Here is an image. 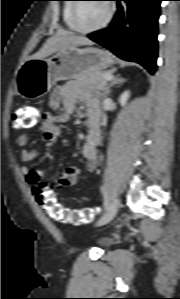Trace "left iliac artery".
<instances>
[{
	"instance_id": "obj_1",
	"label": "left iliac artery",
	"mask_w": 180,
	"mask_h": 299,
	"mask_svg": "<svg viewBox=\"0 0 180 299\" xmlns=\"http://www.w3.org/2000/svg\"><path fill=\"white\" fill-rule=\"evenodd\" d=\"M101 190H102V192L104 194V208H105V210H107L109 208V202H108V199H107V197L105 195L103 186L101 187Z\"/></svg>"
}]
</instances>
